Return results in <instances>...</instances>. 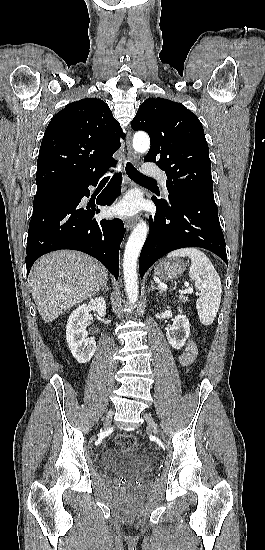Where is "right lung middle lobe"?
Segmentation results:
<instances>
[{"label":"right lung middle lobe","instance_id":"obj_1","mask_svg":"<svg viewBox=\"0 0 265 550\" xmlns=\"http://www.w3.org/2000/svg\"><path fill=\"white\" fill-rule=\"evenodd\" d=\"M70 187L64 185H45L37 187V192L34 197L33 206L47 202L54 198L64 195Z\"/></svg>","mask_w":265,"mask_h":550}]
</instances>
